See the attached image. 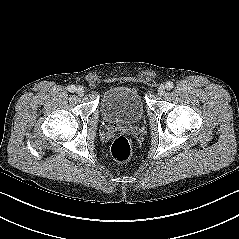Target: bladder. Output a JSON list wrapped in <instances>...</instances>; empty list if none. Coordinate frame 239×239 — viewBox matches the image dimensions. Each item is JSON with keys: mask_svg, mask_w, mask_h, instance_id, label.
Masks as SVG:
<instances>
[{"mask_svg": "<svg viewBox=\"0 0 239 239\" xmlns=\"http://www.w3.org/2000/svg\"><path fill=\"white\" fill-rule=\"evenodd\" d=\"M100 111L108 124H134L144 115V104L138 90L118 85L108 88L100 98Z\"/></svg>", "mask_w": 239, "mask_h": 239, "instance_id": "bladder-1", "label": "bladder"}]
</instances>
